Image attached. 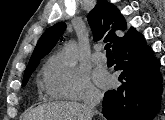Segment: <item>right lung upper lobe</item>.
I'll return each mask as SVG.
<instances>
[{
    "label": "right lung upper lobe",
    "instance_id": "cb5924a9",
    "mask_svg": "<svg viewBox=\"0 0 165 120\" xmlns=\"http://www.w3.org/2000/svg\"><path fill=\"white\" fill-rule=\"evenodd\" d=\"M88 23L92 29L94 40L104 39L109 41L112 43L113 52L139 35L134 28L128 30L123 15L116 6L106 0L98 1L95 8L88 15ZM65 29L66 24L59 22L43 33L34 49L27 68L50 52Z\"/></svg>",
    "mask_w": 165,
    "mask_h": 120
}]
</instances>
